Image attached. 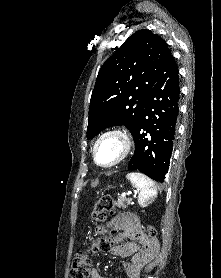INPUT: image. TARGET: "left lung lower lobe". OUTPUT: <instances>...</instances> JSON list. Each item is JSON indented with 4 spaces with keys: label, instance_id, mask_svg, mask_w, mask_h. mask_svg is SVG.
Segmentation results:
<instances>
[{
    "label": "left lung lower lobe",
    "instance_id": "0a47b994",
    "mask_svg": "<svg viewBox=\"0 0 221 278\" xmlns=\"http://www.w3.org/2000/svg\"><path fill=\"white\" fill-rule=\"evenodd\" d=\"M179 100V71L172 57L148 93L143 114L132 133L135 152L129 170H139L153 180L164 181L176 134Z\"/></svg>",
    "mask_w": 221,
    "mask_h": 278
}]
</instances>
